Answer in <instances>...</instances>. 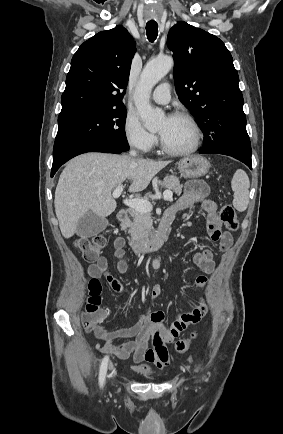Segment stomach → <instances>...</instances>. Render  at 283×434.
Wrapping results in <instances>:
<instances>
[{"instance_id": "1", "label": "stomach", "mask_w": 283, "mask_h": 434, "mask_svg": "<svg viewBox=\"0 0 283 434\" xmlns=\"http://www.w3.org/2000/svg\"><path fill=\"white\" fill-rule=\"evenodd\" d=\"M178 169L184 178H198L209 171L210 163L206 158L194 155L181 159L178 163Z\"/></svg>"}]
</instances>
